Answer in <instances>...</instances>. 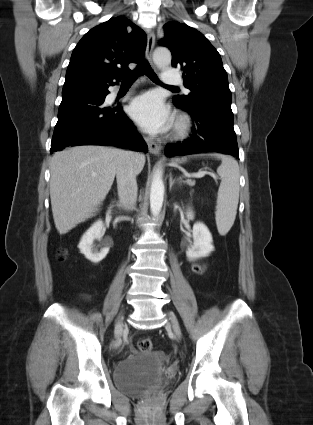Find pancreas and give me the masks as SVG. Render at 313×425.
I'll use <instances>...</instances> for the list:
<instances>
[{
    "label": "pancreas",
    "mask_w": 313,
    "mask_h": 425,
    "mask_svg": "<svg viewBox=\"0 0 313 425\" xmlns=\"http://www.w3.org/2000/svg\"><path fill=\"white\" fill-rule=\"evenodd\" d=\"M184 183H186L187 185H189L191 187H193L195 185V181H192V180H186V181H184Z\"/></svg>",
    "instance_id": "cf45deb5"
}]
</instances>
